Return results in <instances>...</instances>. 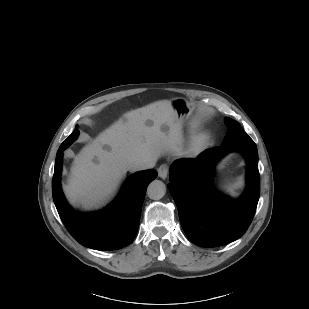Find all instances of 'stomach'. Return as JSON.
Here are the masks:
<instances>
[{
	"mask_svg": "<svg viewBox=\"0 0 309 309\" xmlns=\"http://www.w3.org/2000/svg\"><path fill=\"white\" fill-rule=\"evenodd\" d=\"M170 102L180 124H184L194 111L193 104L183 98H174Z\"/></svg>",
	"mask_w": 309,
	"mask_h": 309,
	"instance_id": "1",
	"label": "stomach"
}]
</instances>
